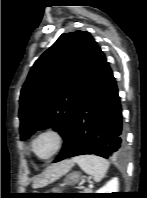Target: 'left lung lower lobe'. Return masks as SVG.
Wrapping results in <instances>:
<instances>
[{
  "label": "left lung lower lobe",
  "mask_w": 147,
  "mask_h": 198,
  "mask_svg": "<svg viewBox=\"0 0 147 198\" xmlns=\"http://www.w3.org/2000/svg\"><path fill=\"white\" fill-rule=\"evenodd\" d=\"M124 148L118 89L99 47L87 88L64 138L63 149L54 162L84 154L104 158L120 156Z\"/></svg>",
  "instance_id": "0a47b994"
}]
</instances>
